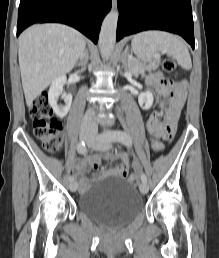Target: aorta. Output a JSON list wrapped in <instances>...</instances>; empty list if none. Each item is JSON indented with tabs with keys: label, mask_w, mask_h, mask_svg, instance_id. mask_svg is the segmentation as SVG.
<instances>
[{
	"label": "aorta",
	"mask_w": 219,
	"mask_h": 258,
	"mask_svg": "<svg viewBox=\"0 0 219 258\" xmlns=\"http://www.w3.org/2000/svg\"><path fill=\"white\" fill-rule=\"evenodd\" d=\"M118 17V11H110L101 26L99 48L104 60H108L112 56L115 47Z\"/></svg>",
	"instance_id": "aorta-1"
}]
</instances>
